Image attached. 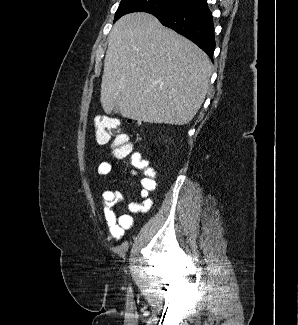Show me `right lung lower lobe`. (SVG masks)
Here are the masks:
<instances>
[{"label":"right lung lower lobe","instance_id":"1","mask_svg":"<svg viewBox=\"0 0 298 325\" xmlns=\"http://www.w3.org/2000/svg\"><path fill=\"white\" fill-rule=\"evenodd\" d=\"M154 16L164 26L190 39L209 57H213L215 49L213 18L206 0H193L180 9Z\"/></svg>","mask_w":298,"mask_h":325}]
</instances>
